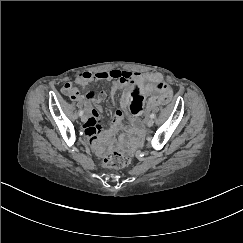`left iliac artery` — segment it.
<instances>
[{"label": "left iliac artery", "instance_id": "44dca946", "mask_svg": "<svg viewBox=\"0 0 243 243\" xmlns=\"http://www.w3.org/2000/svg\"><path fill=\"white\" fill-rule=\"evenodd\" d=\"M150 118L154 119V118H155V114L152 113V114L150 115Z\"/></svg>", "mask_w": 243, "mask_h": 243}]
</instances>
